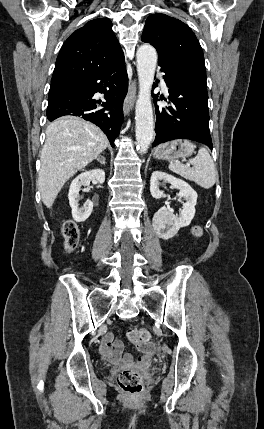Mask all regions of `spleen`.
Wrapping results in <instances>:
<instances>
[{"label":"spleen","mask_w":264,"mask_h":429,"mask_svg":"<svg viewBox=\"0 0 264 429\" xmlns=\"http://www.w3.org/2000/svg\"><path fill=\"white\" fill-rule=\"evenodd\" d=\"M190 163L193 165L192 168L177 162H171L169 169L187 180L194 181L204 189L211 188L218 178V173L208 150L201 147L197 156L190 159Z\"/></svg>","instance_id":"obj_1"}]
</instances>
